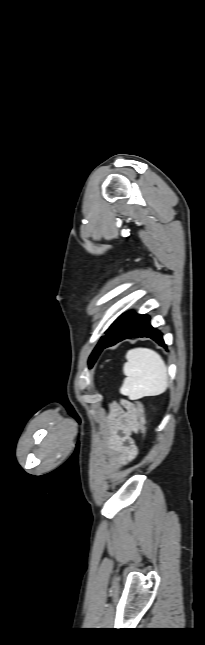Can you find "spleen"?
<instances>
[{
  "label": "spleen",
  "instance_id": "obj_1",
  "mask_svg": "<svg viewBox=\"0 0 205 645\" xmlns=\"http://www.w3.org/2000/svg\"><path fill=\"white\" fill-rule=\"evenodd\" d=\"M123 366L126 378L121 393L131 400L158 396L168 387L167 367L162 357L148 348H135L126 353Z\"/></svg>",
  "mask_w": 205,
  "mask_h": 645
}]
</instances>
